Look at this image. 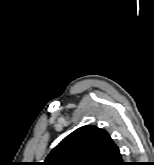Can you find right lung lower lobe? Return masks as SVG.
<instances>
[{
	"instance_id": "obj_1",
	"label": "right lung lower lobe",
	"mask_w": 154,
	"mask_h": 165,
	"mask_svg": "<svg viewBox=\"0 0 154 165\" xmlns=\"http://www.w3.org/2000/svg\"><path fill=\"white\" fill-rule=\"evenodd\" d=\"M112 165H124V162L121 159V155L119 153V155L117 156L116 160L112 163Z\"/></svg>"
}]
</instances>
